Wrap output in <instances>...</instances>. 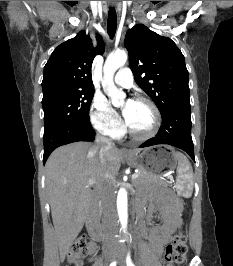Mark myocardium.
Instances as JSON below:
<instances>
[{
	"mask_svg": "<svg viewBox=\"0 0 233 266\" xmlns=\"http://www.w3.org/2000/svg\"><path fill=\"white\" fill-rule=\"evenodd\" d=\"M135 102L147 104L153 112L154 121H153V124H152V127L150 128V130H148L145 133H142V134L136 133L129 126L127 127V132L131 138H133L134 140H137V141H145V140L151 139L158 133V131L160 129V126L162 123L161 112H160L158 106L149 98L141 97V96L136 97Z\"/></svg>",
	"mask_w": 233,
	"mask_h": 266,
	"instance_id": "f54148a6",
	"label": "myocardium"
}]
</instances>
